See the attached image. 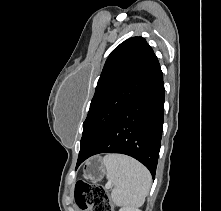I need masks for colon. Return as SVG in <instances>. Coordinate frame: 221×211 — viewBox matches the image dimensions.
<instances>
[{"instance_id": "colon-1", "label": "colon", "mask_w": 221, "mask_h": 211, "mask_svg": "<svg viewBox=\"0 0 221 211\" xmlns=\"http://www.w3.org/2000/svg\"><path fill=\"white\" fill-rule=\"evenodd\" d=\"M74 196L78 207L83 211H112L109 194L100 184L78 181Z\"/></svg>"}]
</instances>
